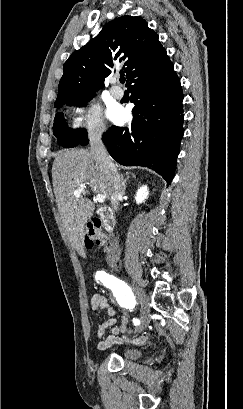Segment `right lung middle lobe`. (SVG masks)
<instances>
[{"mask_svg":"<svg viewBox=\"0 0 243 409\" xmlns=\"http://www.w3.org/2000/svg\"><path fill=\"white\" fill-rule=\"evenodd\" d=\"M92 98L85 100L71 102L67 105L69 106H85ZM65 103L55 105L56 108H61ZM53 133L58 139V144L65 148H72L79 145L82 141L87 139V132L85 129H71L66 126L64 117L62 114L58 113L55 116L53 124Z\"/></svg>","mask_w":243,"mask_h":409,"instance_id":"obj_1","label":"right lung middle lobe"}]
</instances>
